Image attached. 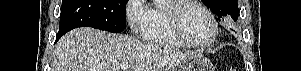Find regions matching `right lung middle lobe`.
<instances>
[{"mask_svg": "<svg viewBox=\"0 0 301 71\" xmlns=\"http://www.w3.org/2000/svg\"><path fill=\"white\" fill-rule=\"evenodd\" d=\"M128 0H62L59 33L77 27H93L109 32L126 29Z\"/></svg>", "mask_w": 301, "mask_h": 71, "instance_id": "dd1d6c3e", "label": "right lung middle lobe"}]
</instances>
